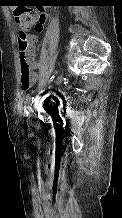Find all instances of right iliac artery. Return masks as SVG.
<instances>
[{"label":"right iliac artery","instance_id":"82829eb1","mask_svg":"<svg viewBox=\"0 0 122 218\" xmlns=\"http://www.w3.org/2000/svg\"><path fill=\"white\" fill-rule=\"evenodd\" d=\"M54 78V75L51 76L50 81ZM34 97L32 98H28L27 100V104L25 106V111L24 113L26 114V116H28V110L31 108V105L33 103Z\"/></svg>","mask_w":122,"mask_h":218}]
</instances>
